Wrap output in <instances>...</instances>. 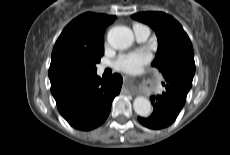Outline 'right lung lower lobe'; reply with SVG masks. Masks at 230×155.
<instances>
[{"label":"right lung lower lobe","instance_id":"right-lung-lower-lobe-1","mask_svg":"<svg viewBox=\"0 0 230 155\" xmlns=\"http://www.w3.org/2000/svg\"><path fill=\"white\" fill-rule=\"evenodd\" d=\"M51 93L66 121L76 129L92 130L108 117L113 98L119 94L122 77L114 74L107 80L96 73L53 78Z\"/></svg>","mask_w":230,"mask_h":155}]
</instances>
